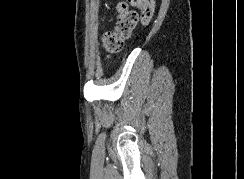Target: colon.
<instances>
[{
	"mask_svg": "<svg viewBox=\"0 0 244 179\" xmlns=\"http://www.w3.org/2000/svg\"><path fill=\"white\" fill-rule=\"evenodd\" d=\"M137 11L130 8L127 2L116 4L118 19L116 29L106 32L102 37L103 49L108 53L120 52L137 26H146L154 15V2L151 0H127Z\"/></svg>",
	"mask_w": 244,
	"mask_h": 179,
	"instance_id": "1",
	"label": "colon"
}]
</instances>
